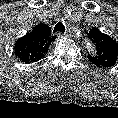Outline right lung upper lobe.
I'll return each mask as SVG.
<instances>
[{
    "label": "right lung upper lobe",
    "mask_w": 118,
    "mask_h": 118,
    "mask_svg": "<svg viewBox=\"0 0 118 118\" xmlns=\"http://www.w3.org/2000/svg\"><path fill=\"white\" fill-rule=\"evenodd\" d=\"M56 39L48 25L40 23L31 32L19 38L15 43V54L26 63L36 62L48 51L49 45Z\"/></svg>",
    "instance_id": "right-lung-upper-lobe-1"
}]
</instances>
